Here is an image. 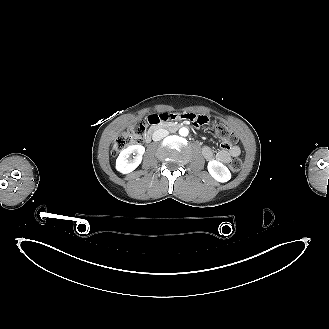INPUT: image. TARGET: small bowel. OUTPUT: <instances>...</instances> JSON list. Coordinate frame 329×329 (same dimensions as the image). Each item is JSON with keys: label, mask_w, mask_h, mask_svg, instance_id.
Wrapping results in <instances>:
<instances>
[{"label": "small bowel", "mask_w": 329, "mask_h": 329, "mask_svg": "<svg viewBox=\"0 0 329 329\" xmlns=\"http://www.w3.org/2000/svg\"><path fill=\"white\" fill-rule=\"evenodd\" d=\"M163 117L165 119H172L173 122L179 123L183 122L185 124L193 125L194 127L201 129L205 125L208 124L209 119L204 114H191V113H171V112H165L163 114ZM203 155L206 159H212L215 158L219 162L226 163L228 162L232 157H237L240 155V149L238 146H224L223 148L218 151L216 154L213 152V150L206 146L203 148Z\"/></svg>", "instance_id": "small-bowel-1"}]
</instances>
